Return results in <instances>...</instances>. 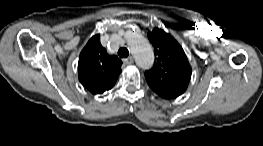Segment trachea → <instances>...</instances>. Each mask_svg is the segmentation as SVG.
<instances>
[{
    "label": "trachea",
    "instance_id": "3493384b",
    "mask_svg": "<svg viewBox=\"0 0 263 146\" xmlns=\"http://www.w3.org/2000/svg\"><path fill=\"white\" fill-rule=\"evenodd\" d=\"M118 55L120 56V58H127L129 55V51L127 50V48H120L118 50Z\"/></svg>",
    "mask_w": 263,
    "mask_h": 146
}]
</instances>
